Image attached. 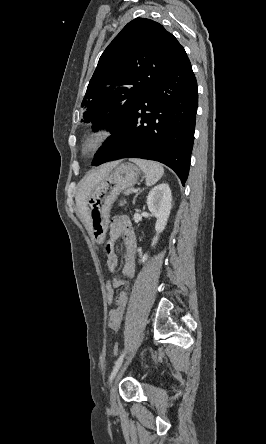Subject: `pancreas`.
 Masks as SVG:
<instances>
[{"mask_svg":"<svg viewBox=\"0 0 266 444\" xmlns=\"http://www.w3.org/2000/svg\"><path fill=\"white\" fill-rule=\"evenodd\" d=\"M133 192V189L132 188H128V189H126V191L124 192V194L125 195H129V194H131Z\"/></svg>","mask_w":266,"mask_h":444,"instance_id":"pancreas-1","label":"pancreas"}]
</instances>
